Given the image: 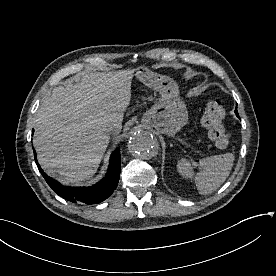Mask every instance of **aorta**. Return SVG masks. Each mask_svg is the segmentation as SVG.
<instances>
[{
    "label": "aorta",
    "mask_w": 276,
    "mask_h": 276,
    "mask_svg": "<svg viewBox=\"0 0 276 276\" xmlns=\"http://www.w3.org/2000/svg\"><path fill=\"white\" fill-rule=\"evenodd\" d=\"M128 150L136 158L150 159L156 156L159 142L150 132L135 131L129 139Z\"/></svg>",
    "instance_id": "762f6f07"
}]
</instances>
